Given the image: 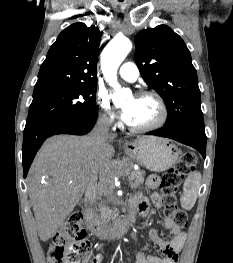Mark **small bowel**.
Wrapping results in <instances>:
<instances>
[{
	"mask_svg": "<svg viewBox=\"0 0 233 263\" xmlns=\"http://www.w3.org/2000/svg\"><path fill=\"white\" fill-rule=\"evenodd\" d=\"M148 188L153 190L150 199L143 195L135 197L131 203H135L137 211L141 216H146L149 212L150 205L152 204L156 208L162 206V199L159 193L160 179L157 175H150L146 182ZM164 225L169 231L170 239H163L156 230L150 232V238L155 243L162 256L149 255L144 250L138 252L135 263H178L179 252L183 248L186 241V233L178 227L170 218L164 217ZM102 256L97 255L92 258V263H101Z\"/></svg>",
	"mask_w": 233,
	"mask_h": 263,
	"instance_id": "obj_1",
	"label": "small bowel"
}]
</instances>
